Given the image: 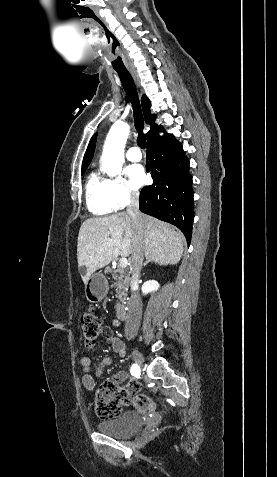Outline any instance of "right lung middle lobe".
I'll return each mask as SVG.
<instances>
[{
    "label": "right lung middle lobe",
    "instance_id": "dd1d6c3e",
    "mask_svg": "<svg viewBox=\"0 0 277 477\" xmlns=\"http://www.w3.org/2000/svg\"><path fill=\"white\" fill-rule=\"evenodd\" d=\"M85 171H86V169H82V170H81L82 175L84 174Z\"/></svg>",
    "mask_w": 277,
    "mask_h": 477
}]
</instances>
